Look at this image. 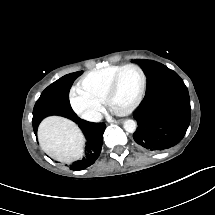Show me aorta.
<instances>
[{"instance_id": "1", "label": "aorta", "mask_w": 215, "mask_h": 215, "mask_svg": "<svg viewBox=\"0 0 215 215\" xmlns=\"http://www.w3.org/2000/svg\"><path fill=\"white\" fill-rule=\"evenodd\" d=\"M123 128H124L126 131L132 133V132H134L135 129H136V122H135L134 120H132V119H125V120L123 121Z\"/></svg>"}]
</instances>
